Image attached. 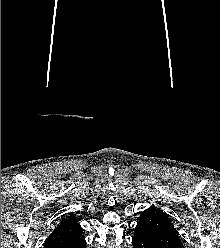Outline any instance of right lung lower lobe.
<instances>
[{"label": "right lung lower lobe", "instance_id": "98d812e1", "mask_svg": "<svg viewBox=\"0 0 220 248\" xmlns=\"http://www.w3.org/2000/svg\"><path fill=\"white\" fill-rule=\"evenodd\" d=\"M60 248H86V242L84 238H80Z\"/></svg>", "mask_w": 220, "mask_h": 248}]
</instances>
